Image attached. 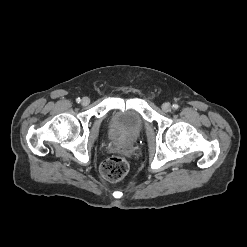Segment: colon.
<instances>
[{
    "mask_svg": "<svg viewBox=\"0 0 247 247\" xmlns=\"http://www.w3.org/2000/svg\"><path fill=\"white\" fill-rule=\"evenodd\" d=\"M128 170L129 165L127 160L119 156H114L104 160L99 167L101 176L112 182L124 179Z\"/></svg>",
    "mask_w": 247,
    "mask_h": 247,
    "instance_id": "obj_1",
    "label": "colon"
}]
</instances>
